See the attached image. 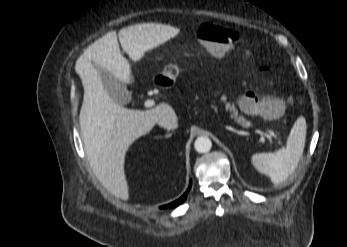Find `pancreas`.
<instances>
[{
	"label": "pancreas",
	"mask_w": 347,
	"mask_h": 247,
	"mask_svg": "<svg viewBox=\"0 0 347 247\" xmlns=\"http://www.w3.org/2000/svg\"><path fill=\"white\" fill-rule=\"evenodd\" d=\"M223 102H225V109H226V111L230 112L231 118L234 119L235 121L239 122L240 124H245V120L241 119L238 116V110L235 108V106L233 104L226 102L225 99H223Z\"/></svg>",
	"instance_id": "1"
}]
</instances>
